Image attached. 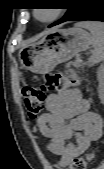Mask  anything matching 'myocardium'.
I'll use <instances>...</instances> for the list:
<instances>
[{
  "instance_id": "1",
  "label": "myocardium",
  "mask_w": 104,
  "mask_h": 169,
  "mask_svg": "<svg viewBox=\"0 0 104 169\" xmlns=\"http://www.w3.org/2000/svg\"><path fill=\"white\" fill-rule=\"evenodd\" d=\"M37 12H38V10H34V16H35L38 20H40V19L38 18ZM59 16H60V10H55V11L52 13V15H51L48 19H44V20H40V21H42V22H53V21H55Z\"/></svg>"
}]
</instances>
